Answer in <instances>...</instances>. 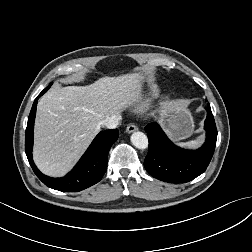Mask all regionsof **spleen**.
Listing matches in <instances>:
<instances>
[{"mask_svg":"<svg viewBox=\"0 0 252 252\" xmlns=\"http://www.w3.org/2000/svg\"><path fill=\"white\" fill-rule=\"evenodd\" d=\"M203 142V138L200 137V138H197L195 140H191V141H188V142H179L177 143L179 146L181 147H185V148H196L198 146H200Z\"/></svg>","mask_w":252,"mask_h":252,"instance_id":"obj_1","label":"spleen"}]
</instances>
